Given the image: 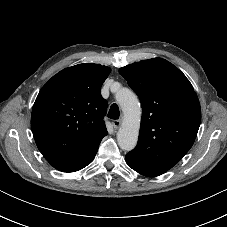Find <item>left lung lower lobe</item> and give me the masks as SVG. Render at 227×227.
Masks as SVG:
<instances>
[{"label": "left lung lower lobe", "mask_w": 227, "mask_h": 227, "mask_svg": "<svg viewBox=\"0 0 227 227\" xmlns=\"http://www.w3.org/2000/svg\"><path fill=\"white\" fill-rule=\"evenodd\" d=\"M125 159H126L127 164L129 165V167H131L133 170L137 171L138 173H140L144 176L155 177V176H159L166 172L164 170H159V169H155V168L146 166L127 156L125 157Z\"/></svg>", "instance_id": "0a47b994"}]
</instances>
